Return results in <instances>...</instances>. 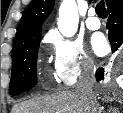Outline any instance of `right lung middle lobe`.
Here are the masks:
<instances>
[{"label": "right lung middle lobe", "mask_w": 123, "mask_h": 113, "mask_svg": "<svg viewBox=\"0 0 123 113\" xmlns=\"http://www.w3.org/2000/svg\"><path fill=\"white\" fill-rule=\"evenodd\" d=\"M40 40L41 35L36 36L14 50L9 86L11 95H18L36 85V63Z\"/></svg>", "instance_id": "right-lung-middle-lobe-1"}]
</instances>
